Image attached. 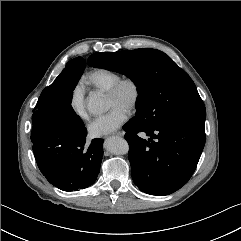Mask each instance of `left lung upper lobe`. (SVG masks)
Returning a JSON list of instances; mask_svg holds the SVG:
<instances>
[{
  "mask_svg": "<svg viewBox=\"0 0 241 241\" xmlns=\"http://www.w3.org/2000/svg\"><path fill=\"white\" fill-rule=\"evenodd\" d=\"M88 65L118 72L138 87L135 117L154 127L172 117L203 120L206 110L189 75L169 56L156 49L98 52Z\"/></svg>",
  "mask_w": 241,
  "mask_h": 241,
  "instance_id": "left-lung-upper-lobe-1",
  "label": "left lung upper lobe"
}]
</instances>
